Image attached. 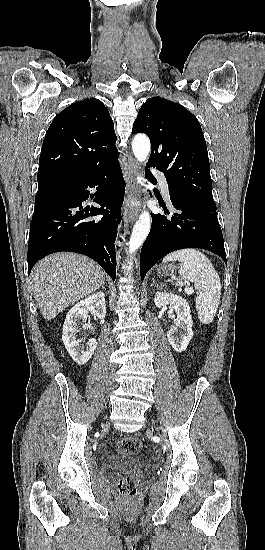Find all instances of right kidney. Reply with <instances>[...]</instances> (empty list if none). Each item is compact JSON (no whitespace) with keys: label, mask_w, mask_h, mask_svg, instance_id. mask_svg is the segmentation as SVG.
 <instances>
[{"label":"right kidney","mask_w":265,"mask_h":550,"mask_svg":"<svg viewBox=\"0 0 265 550\" xmlns=\"http://www.w3.org/2000/svg\"><path fill=\"white\" fill-rule=\"evenodd\" d=\"M91 312L98 318H104L106 315L105 295L103 292H97L86 299L75 304L67 313L63 325L62 340L69 355L78 365L86 364L92 357L96 348L97 341L91 338L86 343V350L80 349L82 339H77L76 334L79 332L76 322L86 320L88 313Z\"/></svg>","instance_id":"ca27d5eb"}]
</instances>
